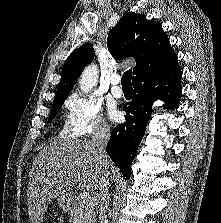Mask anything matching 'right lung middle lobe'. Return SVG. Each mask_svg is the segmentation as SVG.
Wrapping results in <instances>:
<instances>
[{
  "mask_svg": "<svg viewBox=\"0 0 221 223\" xmlns=\"http://www.w3.org/2000/svg\"><path fill=\"white\" fill-rule=\"evenodd\" d=\"M66 98L63 99H57L53 101V105H52V109H51V113L49 116V121H51L56 114L58 113V111L60 110L61 106L63 105L64 101Z\"/></svg>",
  "mask_w": 221,
  "mask_h": 223,
  "instance_id": "obj_1",
  "label": "right lung middle lobe"
}]
</instances>
